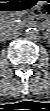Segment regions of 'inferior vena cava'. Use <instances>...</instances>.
I'll list each match as a JSON object with an SVG mask.
<instances>
[{"mask_svg": "<svg viewBox=\"0 0 50 111\" xmlns=\"http://www.w3.org/2000/svg\"><path fill=\"white\" fill-rule=\"evenodd\" d=\"M20 35V33L18 31L12 30V31H7L4 36L5 39H13L16 38Z\"/></svg>", "mask_w": 50, "mask_h": 111, "instance_id": "obj_1", "label": "inferior vena cava"}]
</instances>
